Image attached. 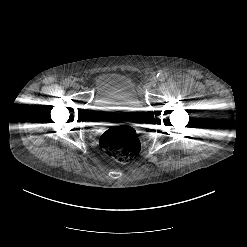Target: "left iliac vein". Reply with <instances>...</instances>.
<instances>
[{
	"label": "left iliac vein",
	"instance_id": "obj_1",
	"mask_svg": "<svg viewBox=\"0 0 247 247\" xmlns=\"http://www.w3.org/2000/svg\"><path fill=\"white\" fill-rule=\"evenodd\" d=\"M157 84V80L155 78L151 79L148 83V87H155Z\"/></svg>",
	"mask_w": 247,
	"mask_h": 247
}]
</instances>
